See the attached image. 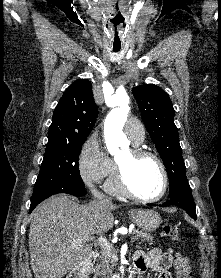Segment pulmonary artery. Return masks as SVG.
Returning <instances> with one entry per match:
<instances>
[{
    "mask_svg": "<svg viewBox=\"0 0 221 278\" xmlns=\"http://www.w3.org/2000/svg\"><path fill=\"white\" fill-rule=\"evenodd\" d=\"M125 132L128 135L129 139L135 144L142 143L145 139L144 127L137 121H127V123L125 124Z\"/></svg>",
    "mask_w": 221,
    "mask_h": 278,
    "instance_id": "obj_1",
    "label": "pulmonary artery"
}]
</instances>
